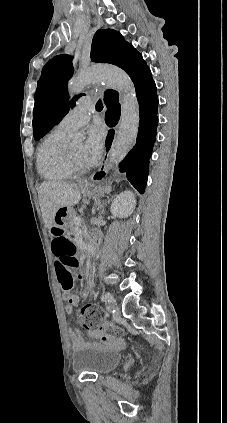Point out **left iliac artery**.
<instances>
[{
	"label": "left iliac artery",
	"mask_w": 227,
	"mask_h": 423,
	"mask_svg": "<svg viewBox=\"0 0 227 423\" xmlns=\"http://www.w3.org/2000/svg\"><path fill=\"white\" fill-rule=\"evenodd\" d=\"M101 300L106 303H112L114 302V298L111 293L107 292L104 295H102Z\"/></svg>",
	"instance_id": "1"
}]
</instances>
